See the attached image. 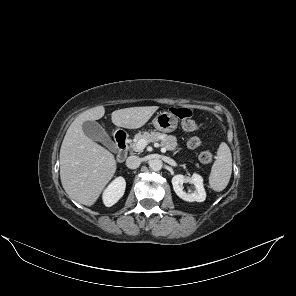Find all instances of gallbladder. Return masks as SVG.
Wrapping results in <instances>:
<instances>
[{"mask_svg": "<svg viewBox=\"0 0 296 296\" xmlns=\"http://www.w3.org/2000/svg\"><path fill=\"white\" fill-rule=\"evenodd\" d=\"M84 134L94 141L106 146L110 151L116 152L117 147L105 129L95 121H85L82 125Z\"/></svg>", "mask_w": 296, "mask_h": 296, "instance_id": "gallbladder-1", "label": "gallbladder"}]
</instances>
